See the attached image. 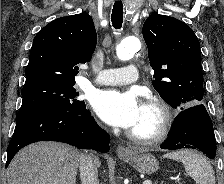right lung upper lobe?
Returning a JSON list of instances; mask_svg holds the SVG:
<instances>
[{
  "instance_id": "obj_1",
  "label": "right lung upper lobe",
  "mask_w": 224,
  "mask_h": 184,
  "mask_svg": "<svg viewBox=\"0 0 224 184\" xmlns=\"http://www.w3.org/2000/svg\"><path fill=\"white\" fill-rule=\"evenodd\" d=\"M96 44L97 34L89 14L83 12L55 19L33 39L25 84L75 83L77 65L91 60Z\"/></svg>"
}]
</instances>
